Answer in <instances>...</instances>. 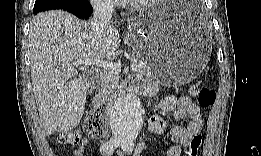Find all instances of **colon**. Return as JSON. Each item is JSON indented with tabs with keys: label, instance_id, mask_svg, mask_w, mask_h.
<instances>
[{
	"label": "colon",
	"instance_id": "5ec220e1",
	"mask_svg": "<svg viewBox=\"0 0 261 156\" xmlns=\"http://www.w3.org/2000/svg\"><path fill=\"white\" fill-rule=\"evenodd\" d=\"M189 93L191 96L198 98V103L203 108H208L215 102V91L207 87L201 88L199 82H194L190 85ZM85 131L88 136L93 138L102 137L106 134L107 125L104 109L100 108L90 113L85 122ZM58 141L65 145L79 146L82 141V136L78 130L65 131L59 134ZM201 144V134H195L185 149V155L197 156Z\"/></svg>",
	"mask_w": 261,
	"mask_h": 156
}]
</instances>
